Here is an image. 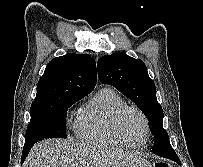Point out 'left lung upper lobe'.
<instances>
[{
  "label": "left lung upper lobe",
  "mask_w": 203,
  "mask_h": 167,
  "mask_svg": "<svg viewBox=\"0 0 203 167\" xmlns=\"http://www.w3.org/2000/svg\"><path fill=\"white\" fill-rule=\"evenodd\" d=\"M98 76L103 84H110L132 100L149 121L154 145L169 141L163 128V110L156 98V88L144 62L125 53L102 56L97 63ZM177 157V156H176Z\"/></svg>",
  "instance_id": "5c2ea615"
}]
</instances>
